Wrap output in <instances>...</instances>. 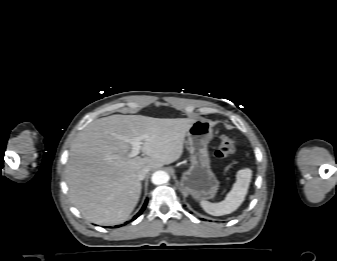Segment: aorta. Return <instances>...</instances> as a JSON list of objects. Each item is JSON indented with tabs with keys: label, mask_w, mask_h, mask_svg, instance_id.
<instances>
[{
	"label": "aorta",
	"mask_w": 337,
	"mask_h": 261,
	"mask_svg": "<svg viewBox=\"0 0 337 261\" xmlns=\"http://www.w3.org/2000/svg\"><path fill=\"white\" fill-rule=\"evenodd\" d=\"M169 175L165 171H156L151 177V181L155 185H162L169 181Z\"/></svg>",
	"instance_id": "762f6f07"
}]
</instances>
